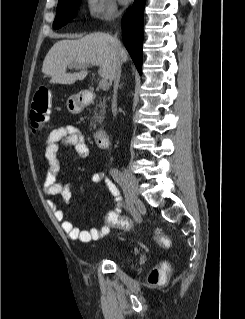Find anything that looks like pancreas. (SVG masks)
<instances>
[{"label":"pancreas","instance_id":"obj_1","mask_svg":"<svg viewBox=\"0 0 245 319\" xmlns=\"http://www.w3.org/2000/svg\"><path fill=\"white\" fill-rule=\"evenodd\" d=\"M105 108L106 105L104 101H100L99 104H96V107L93 111L91 127H95L96 122L101 123L104 120Z\"/></svg>","mask_w":245,"mask_h":319}]
</instances>
